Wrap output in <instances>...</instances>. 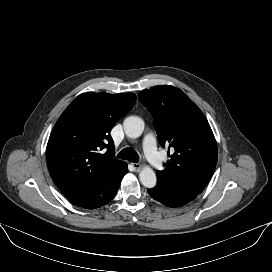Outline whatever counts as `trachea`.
I'll use <instances>...</instances> for the list:
<instances>
[{
	"label": "trachea",
	"instance_id": "1",
	"mask_svg": "<svg viewBox=\"0 0 272 272\" xmlns=\"http://www.w3.org/2000/svg\"><path fill=\"white\" fill-rule=\"evenodd\" d=\"M117 158H120L123 160H129L134 163H137L139 161V156H138L137 152L134 149L129 148V147L121 150L118 153Z\"/></svg>",
	"mask_w": 272,
	"mask_h": 272
}]
</instances>
